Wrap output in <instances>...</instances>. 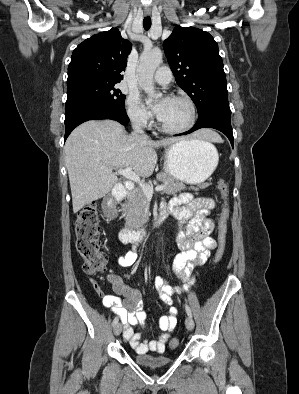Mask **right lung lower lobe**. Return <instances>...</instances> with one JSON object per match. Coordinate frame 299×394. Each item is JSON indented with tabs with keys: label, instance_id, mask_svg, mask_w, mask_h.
Masks as SVG:
<instances>
[{
	"label": "right lung lower lobe",
	"instance_id": "1",
	"mask_svg": "<svg viewBox=\"0 0 299 394\" xmlns=\"http://www.w3.org/2000/svg\"><path fill=\"white\" fill-rule=\"evenodd\" d=\"M112 119L126 125L129 118L126 111H118L111 106L96 100H75L66 102L65 112V137L66 140L71 131L88 120Z\"/></svg>",
	"mask_w": 299,
	"mask_h": 394
}]
</instances>
